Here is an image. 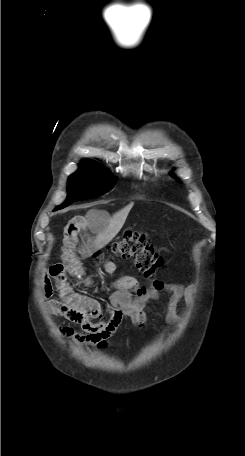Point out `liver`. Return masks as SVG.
<instances>
[{"instance_id": "obj_1", "label": "liver", "mask_w": 245, "mask_h": 456, "mask_svg": "<svg viewBox=\"0 0 245 456\" xmlns=\"http://www.w3.org/2000/svg\"><path fill=\"white\" fill-rule=\"evenodd\" d=\"M134 203L128 204L126 207L115 213L109 220L107 225L100 231L96 237L91 241L88 247H82V253L88 257L92 255L93 251L102 249L119 233L122 229L126 218L132 209Z\"/></svg>"}]
</instances>
